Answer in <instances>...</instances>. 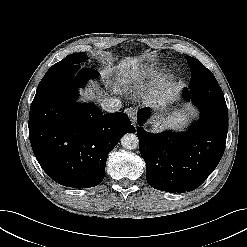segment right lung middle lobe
<instances>
[{
	"label": "right lung middle lobe",
	"mask_w": 247,
	"mask_h": 247,
	"mask_svg": "<svg viewBox=\"0 0 247 247\" xmlns=\"http://www.w3.org/2000/svg\"><path fill=\"white\" fill-rule=\"evenodd\" d=\"M86 57L82 54L74 53L66 56L63 60L54 64L47 72H53L60 69H74L78 68L77 65L84 62Z\"/></svg>",
	"instance_id": "obj_1"
}]
</instances>
